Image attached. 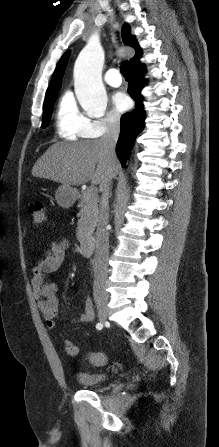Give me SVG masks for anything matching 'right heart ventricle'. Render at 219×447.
Here are the masks:
<instances>
[{
	"label": "right heart ventricle",
	"instance_id": "right-heart-ventricle-1",
	"mask_svg": "<svg viewBox=\"0 0 219 447\" xmlns=\"http://www.w3.org/2000/svg\"><path fill=\"white\" fill-rule=\"evenodd\" d=\"M55 126L57 135L66 141H78L95 137L91 120L78 109L71 93L66 92L60 99Z\"/></svg>",
	"mask_w": 219,
	"mask_h": 447
}]
</instances>
